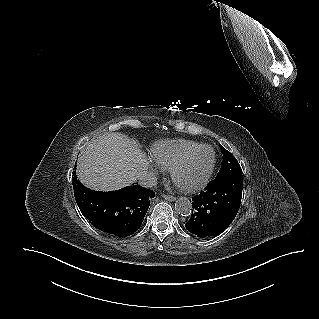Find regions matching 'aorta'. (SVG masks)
<instances>
[{
  "label": "aorta",
  "mask_w": 319,
  "mask_h": 319,
  "mask_svg": "<svg viewBox=\"0 0 319 319\" xmlns=\"http://www.w3.org/2000/svg\"><path fill=\"white\" fill-rule=\"evenodd\" d=\"M176 211L182 216L190 215L192 211V203L186 197H180L175 204Z\"/></svg>",
  "instance_id": "1"
}]
</instances>
